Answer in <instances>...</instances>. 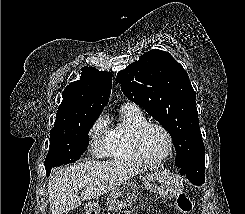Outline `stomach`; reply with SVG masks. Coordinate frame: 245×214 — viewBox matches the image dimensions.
I'll return each mask as SVG.
<instances>
[{
  "mask_svg": "<svg viewBox=\"0 0 245 214\" xmlns=\"http://www.w3.org/2000/svg\"><path fill=\"white\" fill-rule=\"evenodd\" d=\"M144 186L152 193L165 199H171L180 195L183 191V183L175 176L162 171L147 173L142 178ZM138 197V187L131 181H126L121 187L110 192L107 197V207L118 211L130 206ZM96 203H86V214H98Z\"/></svg>",
  "mask_w": 245,
  "mask_h": 214,
  "instance_id": "stomach-1",
  "label": "stomach"
}]
</instances>
